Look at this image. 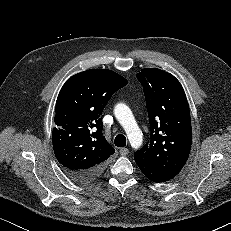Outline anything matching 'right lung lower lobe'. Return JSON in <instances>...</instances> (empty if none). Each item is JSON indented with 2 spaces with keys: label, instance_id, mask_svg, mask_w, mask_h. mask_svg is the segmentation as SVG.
Returning a JSON list of instances; mask_svg holds the SVG:
<instances>
[{
  "label": "right lung lower lobe",
  "instance_id": "98d812e1",
  "mask_svg": "<svg viewBox=\"0 0 231 231\" xmlns=\"http://www.w3.org/2000/svg\"><path fill=\"white\" fill-rule=\"evenodd\" d=\"M103 168H97L94 170L81 171V172H68V175L75 181L86 182L97 177Z\"/></svg>",
  "mask_w": 231,
  "mask_h": 231
}]
</instances>
